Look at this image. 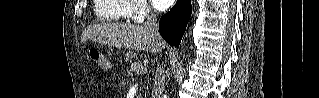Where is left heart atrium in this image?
I'll return each mask as SVG.
<instances>
[{
    "label": "left heart atrium",
    "mask_w": 319,
    "mask_h": 98,
    "mask_svg": "<svg viewBox=\"0 0 319 98\" xmlns=\"http://www.w3.org/2000/svg\"><path fill=\"white\" fill-rule=\"evenodd\" d=\"M172 2V0H152L153 6L159 11H164L169 8Z\"/></svg>",
    "instance_id": "39dd6f15"
}]
</instances>
